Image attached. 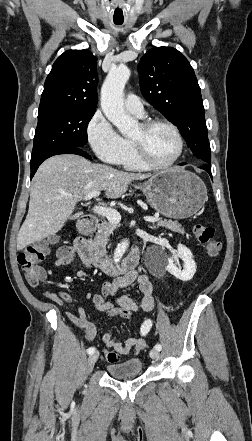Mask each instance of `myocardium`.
<instances>
[{
    "label": "myocardium",
    "instance_id": "obj_1",
    "mask_svg": "<svg viewBox=\"0 0 252 441\" xmlns=\"http://www.w3.org/2000/svg\"><path fill=\"white\" fill-rule=\"evenodd\" d=\"M166 126L169 129L172 130L174 135L176 136L177 142H178V151L176 155L168 162L166 163H155L153 162L150 157L147 155V152L145 150L144 145L141 141L131 138V142L134 146L136 155L140 162L148 169L152 170H160V169H166L171 166H173L183 155L184 153V139L182 137V134L178 127L173 124L172 122L165 120V119H149L143 121L140 126L144 132H148L155 126Z\"/></svg>",
    "mask_w": 252,
    "mask_h": 441
}]
</instances>
